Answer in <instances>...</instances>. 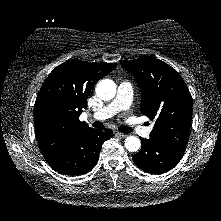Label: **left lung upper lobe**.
Instances as JSON below:
<instances>
[{
    "instance_id": "1",
    "label": "left lung upper lobe",
    "mask_w": 221,
    "mask_h": 221,
    "mask_svg": "<svg viewBox=\"0 0 221 221\" xmlns=\"http://www.w3.org/2000/svg\"><path fill=\"white\" fill-rule=\"evenodd\" d=\"M120 64L140 85L142 114L155 120L150 139L184 148L192 119V97L179 73L149 56Z\"/></svg>"
}]
</instances>
